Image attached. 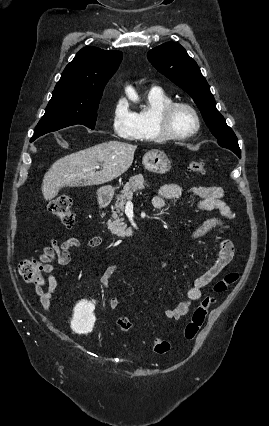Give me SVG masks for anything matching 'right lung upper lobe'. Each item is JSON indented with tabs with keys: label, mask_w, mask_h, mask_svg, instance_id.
<instances>
[{
	"label": "right lung upper lobe",
	"mask_w": 269,
	"mask_h": 426,
	"mask_svg": "<svg viewBox=\"0 0 269 426\" xmlns=\"http://www.w3.org/2000/svg\"><path fill=\"white\" fill-rule=\"evenodd\" d=\"M122 60V52L82 48L64 69L52 94L70 98L102 96L104 87Z\"/></svg>",
	"instance_id": "cb5924a9"
}]
</instances>
